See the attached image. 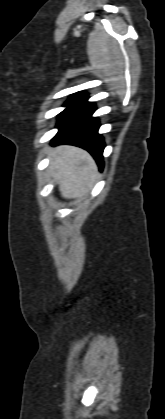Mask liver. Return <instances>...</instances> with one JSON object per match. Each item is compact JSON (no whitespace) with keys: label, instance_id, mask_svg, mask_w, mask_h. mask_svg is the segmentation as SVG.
Returning <instances> with one entry per match:
<instances>
[{"label":"liver","instance_id":"6515ba94","mask_svg":"<svg viewBox=\"0 0 165 419\" xmlns=\"http://www.w3.org/2000/svg\"><path fill=\"white\" fill-rule=\"evenodd\" d=\"M50 169L62 197L83 199L96 183L98 168L92 156L74 146H58L50 154Z\"/></svg>","mask_w":165,"mask_h":419}]
</instances>
